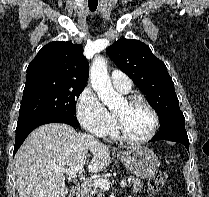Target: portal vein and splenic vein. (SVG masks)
Returning a JSON list of instances; mask_svg holds the SVG:
<instances>
[{"label":"portal vein and splenic vein","mask_w":209,"mask_h":197,"mask_svg":"<svg viewBox=\"0 0 209 197\" xmlns=\"http://www.w3.org/2000/svg\"><path fill=\"white\" fill-rule=\"evenodd\" d=\"M84 164H85V161L81 160L77 165L71 167L70 169H65L62 171L65 172L68 176H71V177L76 176L77 173L82 170ZM80 179L83 181H87L89 183H93L101 189L109 190V188H110V182L107 179H103V178L89 179V178H85V176H80ZM120 186L125 187L126 182L121 181Z\"/></svg>","instance_id":"1"}]
</instances>
